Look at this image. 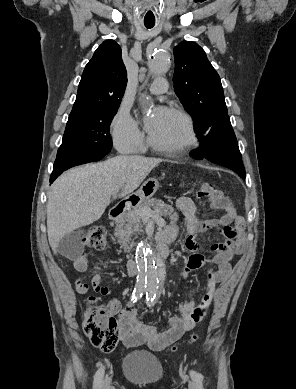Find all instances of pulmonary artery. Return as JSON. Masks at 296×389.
Here are the masks:
<instances>
[{
    "label": "pulmonary artery",
    "instance_id": "e3ab8cb5",
    "mask_svg": "<svg viewBox=\"0 0 296 389\" xmlns=\"http://www.w3.org/2000/svg\"><path fill=\"white\" fill-rule=\"evenodd\" d=\"M168 89V83L165 78L158 77L156 78L149 86V91L152 94H161L166 92Z\"/></svg>",
    "mask_w": 296,
    "mask_h": 389
}]
</instances>
